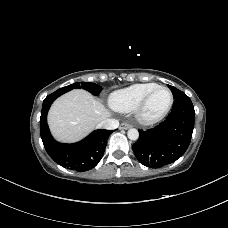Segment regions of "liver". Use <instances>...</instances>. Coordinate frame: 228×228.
<instances>
[{
  "label": "liver",
  "mask_w": 228,
  "mask_h": 228,
  "mask_svg": "<svg viewBox=\"0 0 228 228\" xmlns=\"http://www.w3.org/2000/svg\"><path fill=\"white\" fill-rule=\"evenodd\" d=\"M110 115V111L89 92L76 89L53 103L48 124L58 141L70 143L84 138Z\"/></svg>",
  "instance_id": "obj_1"
}]
</instances>
